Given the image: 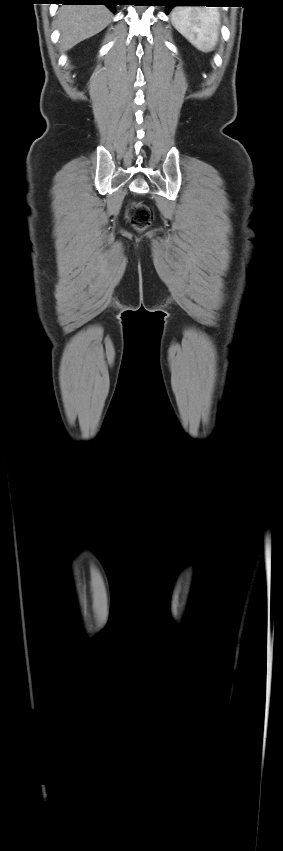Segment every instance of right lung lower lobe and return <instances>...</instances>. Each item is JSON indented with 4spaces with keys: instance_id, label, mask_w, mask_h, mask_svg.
Here are the masks:
<instances>
[{
    "instance_id": "right-lung-lower-lobe-1",
    "label": "right lung lower lobe",
    "mask_w": 283,
    "mask_h": 851,
    "mask_svg": "<svg viewBox=\"0 0 283 851\" xmlns=\"http://www.w3.org/2000/svg\"><path fill=\"white\" fill-rule=\"evenodd\" d=\"M54 3L62 5H106L112 12H115V5L119 0H53Z\"/></svg>"
}]
</instances>
